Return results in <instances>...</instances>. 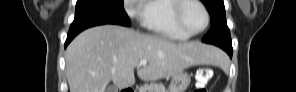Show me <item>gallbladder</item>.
I'll list each match as a JSON object with an SVG mask.
<instances>
[{
  "mask_svg": "<svg viewBox=\"0 0 296 92\" xmlns=\"http://www.w3.org/2000/svg\"><path fill=\"white\" fill-rule=\"evenodd\" d=\"M106 92H118V88L115 85H111L107 88Z\"/></svg>",
  "mask_w": 296,
  "mask_h": 92,
  "instance_id": "gallbladder-1",
  "label": "gallbladder"
}]
</instances>
